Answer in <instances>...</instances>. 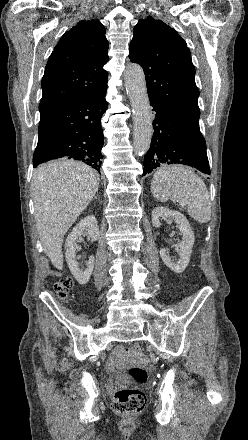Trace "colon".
I'll return each instance as SVG.
<instances>
[{
    "label": "colon",
    "mask_w": 248,
    "mask_h": 440,
    "mask_svg": "<svg viewBox=\"0 0 248 440\" xmlns=\"http://www.w3.org/2000/svg\"><path fill=\"white\" fill-rule=\"evenodd\" d=\"M73 286V281L70 277H65L57 281L54 285L56 296L61 301H67L69 292ZM126 351L133 354H139L141 347L139 344H132L126 347ZM134 383V386L118 387L113 396L112 409L121 416H132L140 413L146 403V396L141 390L140 386L146 383L148 373L142 367H130L122 370Z\"/></svg>",
    "instance_id": "1"
}]
</instances>
